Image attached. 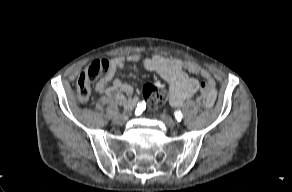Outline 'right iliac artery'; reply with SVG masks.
I'll list each match as a JSON object with an SVG mask.
<instances>
[{"instance_id": "82829eb1", "label": "right iliac artery", "mask_w": 292, "mask_h": 192, "mask_svg": "<svg viewBox=\"0 0 292 192\" xmlns=\"http://www.w3.org/2000/svg\"><path fill=\"white\" fill-rule=\"evenodd\" d=\"M146 105H145V102H139L138 105H137V109H136V112H142L144 109H145Z\"/></svg>"}]
</instances>
